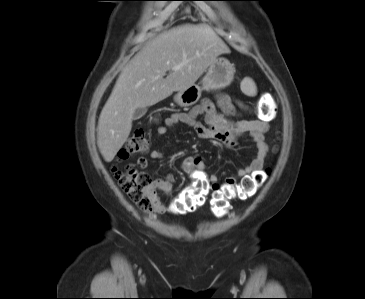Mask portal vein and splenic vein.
<instances>
[{"instance_id": "1", "label": "portal vein and splenic vein", "mask_w": 365, "mask_h": 299, "mask_svg": "<svg viewBox=\"0 0 365 299\" xmlns=\"http://www.w3.org/2000/svg\"><path fill=\"white\" fill-rule=\"evenodd\" d=\"M179 69H180V66H176V67L173 68V70H175V71L179 70Z\"/></svg>"}]
</instances>
